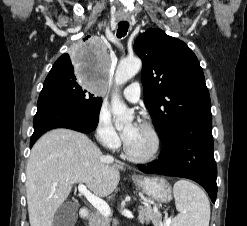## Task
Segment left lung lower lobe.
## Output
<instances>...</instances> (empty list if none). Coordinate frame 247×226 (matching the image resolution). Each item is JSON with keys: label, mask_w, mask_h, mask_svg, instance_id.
I'll use <instances>...</instances> for the list:
<instances>
[{"label": "left lung lower lobe", "mask_w": 247, "mask_h": 226, "mask_svg": "<svg viewBox=\"0 0 247 226\" xmlns=\"http://www.w3.org/2000/svg\"><path fill=\"white\" fill-rule=\"evenodd\" d=\"M139 169L196 181L213 203L217 195V166L214 160L212 116H200L185 123L168 141L162 143L159 160Z\"/></svg>", "instance_id": "1"}]
</instances>
